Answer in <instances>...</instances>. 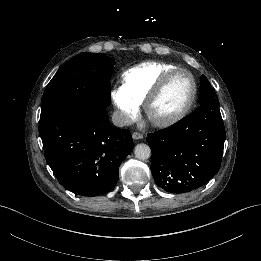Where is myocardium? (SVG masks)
<instances>
[{
	"instance_id": "obj_1",
	"label": "myocardium",
	"mask_w": 261,
	"mask_h": 261,
	"mask_svg": "<svg viewBox=\"0 0 261 261\" xmlns=\"http://www.w3.org/2000/svg\"><path fill=\"white\" fill-rule=\"evenodd\" d=\"M178 73L186 74L192 83V94H191L190 99L178 113H176L172 116H168L166 118L154 117L152 114V109H153L154 105L161 98L164 91L166 90L169 83L171 82L172 78ZM197 92H198V87H197V83H196V80H195L193 74L186 69L176 67V68L168 71L161 78V80L158 82V84L154 87V89L151 91V93L146 98L145 104H144L145 115H146L147 119L149 120V122L155 127L163 128V127L171 126V125L179 122L180 120H182L188 114V112L190 111V109L192 108V106L196 100Z\"/></svg>"
}]
</instances>
